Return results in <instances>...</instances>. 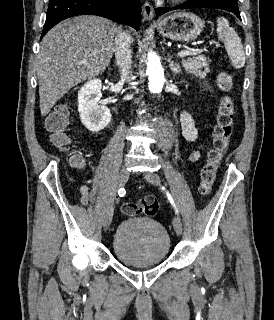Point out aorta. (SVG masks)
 I'll return each mask as SVG.
<instances>
[{"label":"aorta","mask_w":274,"mask_h":320,"mask_svg":"<svg viewBox=\"0 0 274 320\" xmlns=\"http://www.w3.org/2000/svg\"><path fill=\"white\" fill-rule=\"evenodd\" d=\"M146 74L148 75V87L151 93L160 94L162 92L165 78L164 70L162 68L159 57L153 53H148L147 56V69ZM157 133L160 138V145H165L172 140V125L169 122L155 120Z\"/></svg>","instance_id":"1"}]
</instances>
